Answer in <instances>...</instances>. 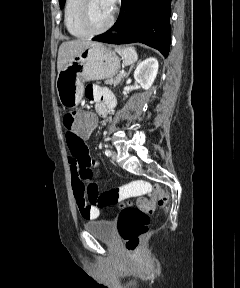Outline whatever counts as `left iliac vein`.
Returning a JSON list of instances; mask_svg holds the SVG:
<instances>
[{"label": "left iliac vein", "instance_id": "left-iliac-vein-1", "mask_svg": "<svg viewBox=\"0 0 240 288\" xmlns=\"http://www.w3.org/2000/svg\"><path fill=\"white\" fill-rule=\"evenodd\" d=\"M111 159H112L113 161H115V160L117 159V153H116L115 151H112V153H111Z\"/></svg>", "mask_w": 240, "mask_h": 288}]
</instances>
